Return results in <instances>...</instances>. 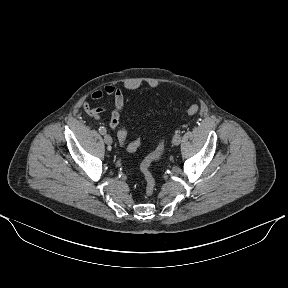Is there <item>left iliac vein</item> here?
<instances>
[{
    "label": "left iliac vein",
    "mask_w": 288,
    "mask_h": 288,
    "mask_svg": "<svg viewBox=\"0 0 288 288\" xmlns=\"http://www.w3.org/2000/svg\"><path fill=\"white\" fill-rule=\"evenodd\" d=\"M172 142H173L174 145H179L180 142H181V136L174 135L173 139H172Z\"/></svg>",
    "instance_id": "1"
}]
</instances>
